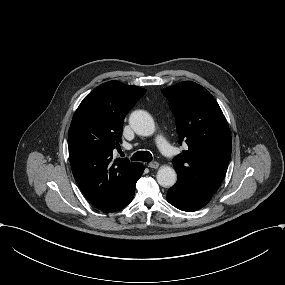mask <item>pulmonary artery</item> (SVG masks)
<instances>
[{
  "instance_id": "1",
  "label": "pulmonary artery",
  "mask_w": 285,
  "mask_h": 285,
  "mask_svg": "<svg viewBox=\"0 0 285 285\" xmlns=\"http://www.w3.org/2000/svg\"><path fill=\"white\" fill-rule=\"evenodd\" d=\"M154 142L164 155H172L175 152L174 147L161 135H157L154 138Z\"/></svg>"
}]
</instances>
